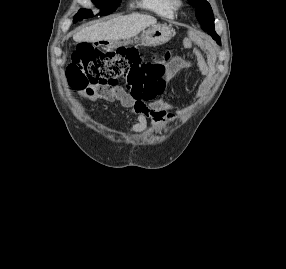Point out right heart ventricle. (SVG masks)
Segmentation results:
<instances>
[{"mask_svg": "<svg viewBox=\"0 0 286 269\" xmlns=\"http://www.w3.org/2000/svg\"><path fill=\"white\" fill-rule=\"evenodd\" d=\"M132 6L160 17H171L173 9L169 0H134Z\"/></svg>", "mask_w": 286, "mask_h": 269, "instance_id": "e07e8e85", "label": "right heart ventricle"}]
</instances>
